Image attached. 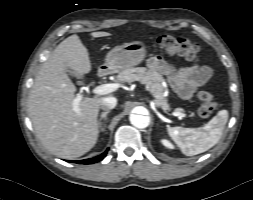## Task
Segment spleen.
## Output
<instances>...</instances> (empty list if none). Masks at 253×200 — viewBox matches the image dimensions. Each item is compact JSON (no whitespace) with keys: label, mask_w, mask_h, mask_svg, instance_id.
<instances>
[{"label":"spleen","mask_w":253,"mask_h":200,"mask_svg":"<svg viewBox=\"0 0 253 200\" xmlns=\"http://www.w3.org/2000/svg\"><path fill=\"white\" fill-rule=\"evenodd\" d=\"M227 120L228 111L220 110L201 128L169 127L167 131L183 154L193 156L209 150L218 143Z\"/></svg>","instance_id":"obj_1"}]
</instances>
